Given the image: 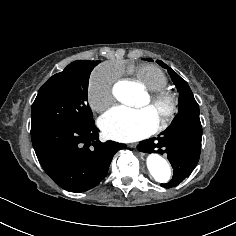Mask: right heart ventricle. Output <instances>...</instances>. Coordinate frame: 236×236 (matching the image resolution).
<instances>
[{
	"label": "right heart ventricle",
	"instance_id": "obj_1",
	"mask_svg": "<svg viewBox=\"0 0 236 236\" xmlns=\"http://www.w3.org/2000/svg\"><path fill=\"white\" fill-rule=\"evenodd\" d=\"M129 73L133 81L141 84L151 93L157 92L168 86V78L166 74L153 65H138L130 67H122L118 74Z\"/></svg>",
	"mask_w": 236,
	"mask_h": 236
}]
</instances>
